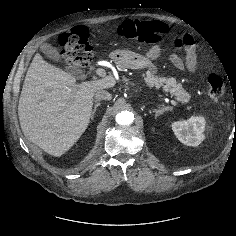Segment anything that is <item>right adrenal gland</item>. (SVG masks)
<instances>
[{"mask_svg": "<svg viewBox=\"0 0 236 236\" xmlns=\"http://www.w3.org/2000/svg\"><path fill=\"white\" fill-rule=\"evenodd\" d=\"M100 106V103H96L95 104V106H94V109H93V112H92V116H91V119H93L94 118V116H95V113H96V110H97V108Z\"/></svg>", "mask_w": 236, "mask_h": 236, "instance_id": "1", "label": "right adrenal gland"}]
</instances>
